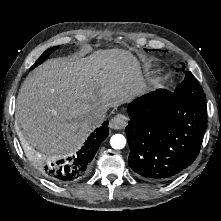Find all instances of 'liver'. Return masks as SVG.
I'll use <instances>...</instances> for the list:
<instances>
[{
	"label": "liver",
	"instance_id": "6515ba94",
	"mask_svg": "<svg viewBox=\"0 0 221 221\" xmlns=\"http://www.w3.org/2000/svg\"><path fill=\"white\" fill-rule=\"evenodd\" d=\"M138 59L123 49L97 50L87 57L53 58L32 71L18 93L16 120L25 152L68 154L96 127L88 114L96 107H117L141 93Z\"/></svg>",
	"mask_w": 221,
	"mask_h": 221
}]
</instances>
